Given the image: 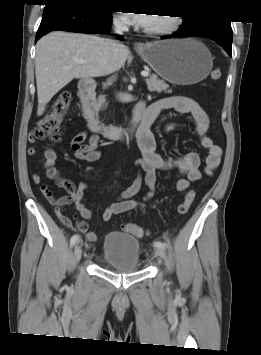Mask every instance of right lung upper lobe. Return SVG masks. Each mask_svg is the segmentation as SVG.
Here are the masks:
<instances>
[{
	"label": "right lung upper lobe",
	"instance_id": "cb5924a9",
	"mask_svg": "<svg viewBox=\"0 0 261 355\" xmlns=\"http://www.w3.org/2000/svg\"><path fill=\"white\" fill-rule=\"evenodd\" d=\"M47 3H50V2H56V1H63V0H45ZM79 1H82V0H79Z\"/></svg>",
	"mask_w": 261,
	"mask_h": 355
}]
</instances>
